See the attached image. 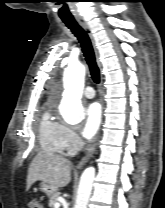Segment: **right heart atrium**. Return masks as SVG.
<instances>
[{"label": "right heart atrium", "instance_id": "right-heart-atrium-1", "mask_svg": "<svg viewBox=\"0 0 165 208\" xmlns=\"http://www.w3.org/2000/svg\"><path fill=\"white\" fill-rule=\"evenodd\" d=\"M63 144L67 154L74 153L80 146V139L74 128L63 125Z\"/></svg>", "mask_w": 165, "mask_h": 208}]
</instances>
